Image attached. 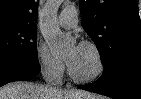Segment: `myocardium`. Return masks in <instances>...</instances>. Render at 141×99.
<instances>
[{
	"instance_id": "myocardium-1",
	"label": "myocardium",
	"mask_w": 141,
	"mask_h": 99,
	"mask_svg": "<svg viewBox=\"0 0 141 99\" xmlns=\"http://www.w3.org/2000/svg\"><path fill=\"white\" fill-rule=\"evenodd\" d=\"M80 46L89 49L93 53L95 60H96V69L91 75L81 77V76L76 75L73 72V70L71 69L70 64L67 63L68 74H69L70 78L74 82H77V83L94 82L95 80H97L103 74V71H104V59H103L102 53L95 44L88 42V41L82 42L80 44Z\"/></svg>"
}]
</instances>
